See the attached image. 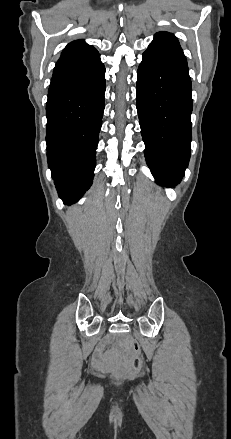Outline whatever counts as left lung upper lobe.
Listing matches in <instances>:
<instances>
[{"label":"left lung upper lobe","mask_w":231,"mask_h":439,"mask_svg":"<svg viewBox=\"0 0 231 439\" xmlns=\"http://www.w3.org/2000/svg\"><path fill=\"white\" fill-rule=\"evenodd\" d=\"M148 48H153L185 57L177 37L174 34L165 31L156 33Z\"/></svg>","instance_id":"5c2ea615"}]
</instances>
